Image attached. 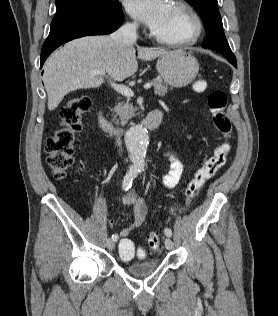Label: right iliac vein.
<instances>
[{
  "label": "right iliac vein",
  "mask_w": 278,
  "mask_h": 316,
  "mask_svg": "<svg viewBox=\"0 0 278 316\" xmlns=\"http://www.w3.org/2000/svg\"><path fill=\"white\" fill-rule=\"evenodd\" d=\"M107 248L109 250H113L115 248V241L113 239L107 240Z\"/></svg>",
  "instance_id": "1"
}]
</instances>
